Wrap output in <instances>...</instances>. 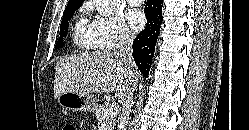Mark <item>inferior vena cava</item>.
I'll use <instances>...</instances> for the list:
<instances>
[{
	"label": "inferior vena cava",
	"instance_id": "inferior-vena-cava-1",
	"mask_svg": "<svg viewBox=\"0 0 249 130\" xmlns=\"http://www.w3.org/2000/svg\"><path fill=\"white\" fill-rule=\"evenodd\" d=\"M134 36L128 32H125L122 35L118 57L119 60L123 63L125 68L128 71L129 79L131 80V88L126 95L125 100L122 102V114L120 117L119 130H125V126L128 123L129 115L131 112V106L133 103V92L136 85L134 80V74L136 73V65L132 56V44Z\"/></svg>",
	"mask_w": 249,
	"mask_h": 130
}]
</instances>
